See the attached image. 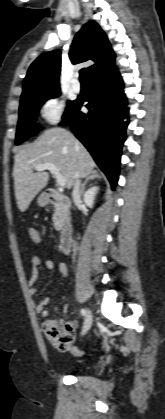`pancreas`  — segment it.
I'll use <instances>...</instances> for the list:
<instances>
[{"label": "pancreas", "mask_w": 165, "mask_h": 419, "mask_svg": "<svg viewBox=\"0 0 165 419\" xmlns=\"http://www.w3.org/2000/svg\"><path fill=\"white\" fill-rule=\"evenodd\" d=\"M53 225L56 230H60L63 225V218L59 208H56L53 214Z\"/></svg>", "instance_id": "pancreas-1"}]
</instances>
